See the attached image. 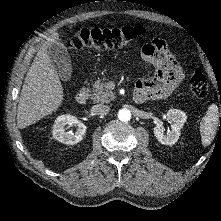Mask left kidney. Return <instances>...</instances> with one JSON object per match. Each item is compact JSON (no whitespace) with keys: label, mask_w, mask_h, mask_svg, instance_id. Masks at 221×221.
<instances>
[{"label":"left kidney","mask_w":221,"mask_h":221,"mask_svg":"<svg viewBox=\"0 0 221 221\" xmlns=\"http://www.w3.org/2000/svg\"><path fill=\"white\" fill-rule=\"evenodd\" d=\"M187 116L185 112L178 109H170L167 112V120L172 122L171 131L164 133L163 124L157 123L154 127V135L156 139L164 145H174L180 137V130L186 122Z\"/></svg>","instance_id":"left-kidney-1"}]
</instances>
